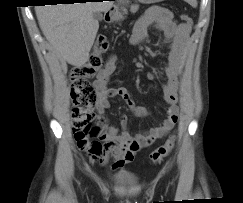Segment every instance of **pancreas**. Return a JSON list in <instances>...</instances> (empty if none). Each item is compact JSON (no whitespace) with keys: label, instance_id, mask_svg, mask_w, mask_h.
I'll return each mask as SVG.
<instances>
[{"label":"pancreas","instance_id":"1","mask_svg":"<svg viewBox=\"0 0 243 203\" xmlns=\"http://www.w3.org/2000/svg\"><path fill=\"white\" fill-rule=\"evenodd\" d=\"M139 6L138 5H132L131 8H130V11L132 13H135L137 10H138Z\"/></svg>","mask_w":243,"mask_h":203}]
</instances>
